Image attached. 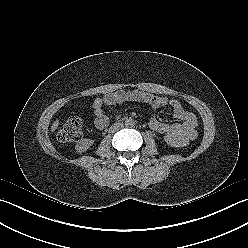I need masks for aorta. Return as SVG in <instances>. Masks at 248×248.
Instances as JSON below:
<instances>
[{"label": "aorta", "instance_id": "aorta-1", "mask_svg": "<svg viewBox=\"0 0 248 248\" xmlns=\"http://www.w3.org/2000/svg\"><path fill=\"white\" fill-rule=\"evenodd\" d=\"M135 125V121L132 118H128L125 120V126L127 128H132Z\"/></svg>", "mask_w": 248, "mask_h": 248}]
</instances>
